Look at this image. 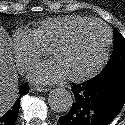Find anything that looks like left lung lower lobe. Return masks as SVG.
I'll return each instance as SVG.
<instances>
[{"label":"left lung lower lobe","mask_w":125,"mask_h":125,"mask_svg":"<svg viewBox=\"0 0 125 125\" xmlns=\"http://www.w3.org/2000/svg\"><path fill=\"white\" fill-rule=\"evenodd\" d=\"M75 101L60 125H108L125 102V69L72 86Z\"/></svg>","instance_id":"left-lung-lower-lobe-1"}]
</instances>
